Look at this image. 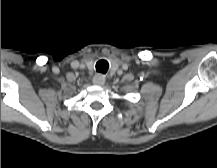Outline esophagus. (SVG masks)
<instances>
[{"mask_svg":"<svg viewBox=\"0 0 217 168\" xmlns=\"http://www.w3.org/2000/svg\"><path fill=\"white\" fill-rule=\"evenodd\" d=\"M93 83L98 86H102L105 83V76L102 74H96L93 77Z\"/></svg>","mask_w":217,"mask_h":168,"instance_id":"34e87169","label":"esophagus"}]
</instances>
